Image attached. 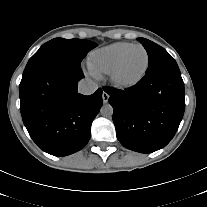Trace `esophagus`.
<instances>
[{
    "label": "esophagus",
    "instance_id": "34e87169",
    "mask_svg": "<svg viewBox=\"0 0 207 207\" xmlns=\"http://www.w3.org/2000/svg\"><path fill=\"white\" fill-rule=\"evenodd\" d=\"M109 97H110L109 94L107 92L103 91V93H102L103 103H107L109 100Z\"/></svg>",
    "mask_w": 207,
    "mask_h": 207
}]
</instances>
